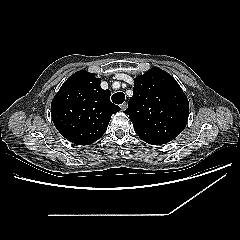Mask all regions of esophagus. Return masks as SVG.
Here are the masks:
<instances>
[{
    "instance_id": "esophagus-1",
    "label": "esophagus",
    "mask_w": 240,
    "mask_h": 240,
    "mask_svg": "<svg viewBox=\"0 0 240 240\" xmlns=\"http://www.w3.org/2000/svg\"><path fill=\"white\" fill-rule=\"evenodd\" d=\"M120 108H121L122 111H125L126 108H127V104H126V103H122V104L120 105Z\"/></svg>"
}]
</instances>
